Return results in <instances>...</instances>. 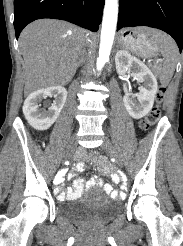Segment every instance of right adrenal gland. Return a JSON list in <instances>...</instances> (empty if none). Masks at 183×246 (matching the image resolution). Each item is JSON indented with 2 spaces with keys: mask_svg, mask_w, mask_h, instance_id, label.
Listing matches in <instances>:
<instances>
[{
  "mask_svg": "<svg viewBox=\"0 0 183 246\" xmlns=\"http://www.w3.org/2000/svg\"><path fill=\"white\" fill-rule=\"evenodd\" d=\"M83 54H84V50L80 52V55H81V56H82ZM81 63H82V57H81L80 60L78 61L76 68H78V67L81 65Z\"/></svg>",
  "mask_w": 183,
  "mask_h": 246,
  "instance_id": "obj_1",
  "label": "right adrenal gland"
}]
</instances>
